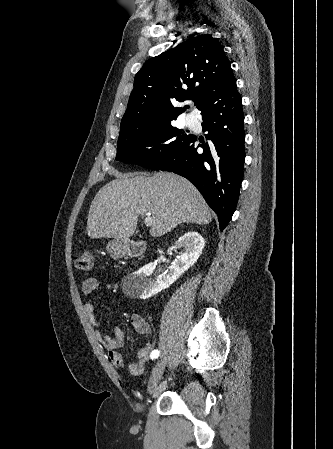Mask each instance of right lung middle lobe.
I'll use <instances>...</instances> for the list:
<instances>
[{"label": "right lung middle lobe", "instance_id": "1", "mask_svg": "<svg viewBox=\"0 0 333 449\" xmlns=\"http://www.w3.org/2000/svg\"><path fill=\"white\" fill-rule=\"evenodd\" d=\"M190 137L191 134L173 127L171 121H168L141 134L118 140L116 160L153 169L176 152Z\"/></svg>", "mask_w": 333, "mask_h": 449}]
</instances>
